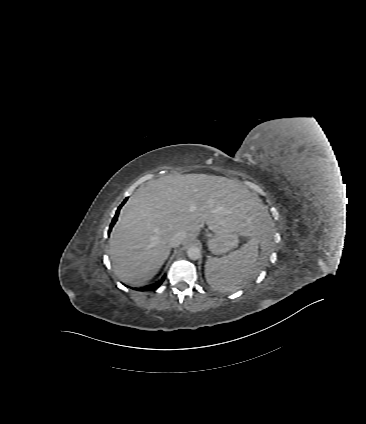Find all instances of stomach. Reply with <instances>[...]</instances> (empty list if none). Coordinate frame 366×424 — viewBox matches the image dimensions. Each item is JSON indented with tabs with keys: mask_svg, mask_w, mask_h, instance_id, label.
<instances>
[{
	"mask_svg": "<svg viewBox=\"0 0 366 424\" xmlns=\"http://www.w3.org/2000/svg\"><path fill=\"white\" fill-rule=\"evenodd\" d=\"M239 237L240 232L236 230L217 232L208 239L207 246L213 254L221 255L236 247Z\"/></svg>",
	"mask_w": 366,
	"mask_h": 424,
	"instance_id": "stomach-1",
	"label": "stomach"
}]
</instances>
